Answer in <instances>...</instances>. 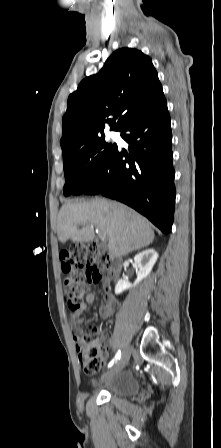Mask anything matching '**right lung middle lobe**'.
Masks as SVG:
<instances>
[{
	"label": "right lung middle lobe",
	"instance_id": "1",
	"mask_svg": "<svg viewBox=\"0 0 221 448\" xmlns=\"http://www.w3.org/2000/svg\"><path fill=\"white\" fill-rule=\"evenodd\" d=\"M116 148V144L107 143L103 136L64 158V195L82 194L105 169Z\"/></svg>",
	"mask_w": 221,
	"mask_h": 448
}]
</instances>
